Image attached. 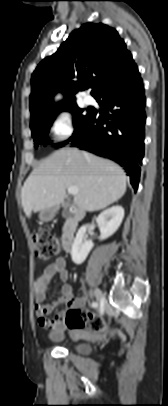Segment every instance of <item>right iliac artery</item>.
<instances>
[{"instance_id": "right-iliac-artery-1", "label": "right iliac artery", "mask_w": 168, "mask_h": 406, "mask_svg": "<svg viewBox=\"0 0 168 406\" xmlns=\"http://www.w3.org/2000/svg\"><path fill=\"white\" fill-rule=\"evenodd\" d=\"M92 306L95 307V306H97V304H96V303H92Z\"/></svg>"}]
</instances>
